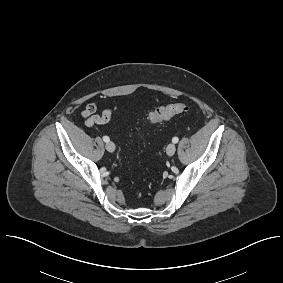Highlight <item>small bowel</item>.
Returning a JSON list of instances; mask_svg holds the SVG:
<instances>
[{"mask_svg": "<svg viewBox=\"0 0 283 283\" xmlns=\"http://www.w3.org/2000/svg\"><path fill=\"white\" fill-rule=\"evenodd\" d=\"M114 114V110L111 108L104 109L100 114L96 113V105L94 103H88L83 111L82 118L87 126L96 124H105L109 122Z\"/></svg>", "mask_w": 283, "mask_h": 283, "instance_id": "c3829d8e", "label": "small bowel"}]
</instances>
